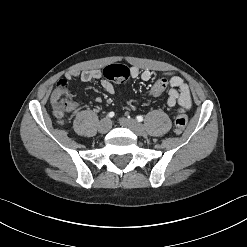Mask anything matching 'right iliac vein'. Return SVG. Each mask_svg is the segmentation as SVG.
<instances>
[{
    "instance_id": "63e3f726",
    "label": "right iliac vein",
    "mask_w": 247,
    "mask_h": 247,
    "mask_svg": "<svg viewBox=\"0 0 247 247\" xmlns=\"http://www.w3.org/2000/svg\"><path fill=\"white\" fill-rule=\"evenodd\" d=\"M111 128V121L108 118H103L98 125V131L102 134L107 133Z\"/></svg>"
}]
</instances>
